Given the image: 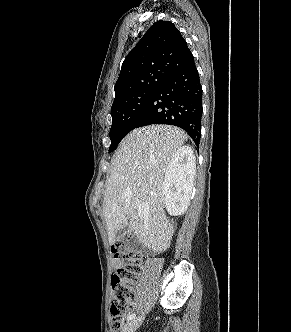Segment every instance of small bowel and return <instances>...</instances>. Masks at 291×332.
Returning <instances> with one entry per match:
<instances>
[{
	"mask_svg": "<svg viewBox=\"0 0 291 332\" xmlns=\"http://www.w3.org/2000/svg\"><path fill=\"white\" fill-rule=\"evenodd\" d=\"M113 265L114 266H119L120 265V260L115 257V259L113 260Z\"/></svg>",
	"mask_w": 291,
	"mask_h": 332,
	"instance_id": "1",
	"label": "small bowel"
}]
</instances>
